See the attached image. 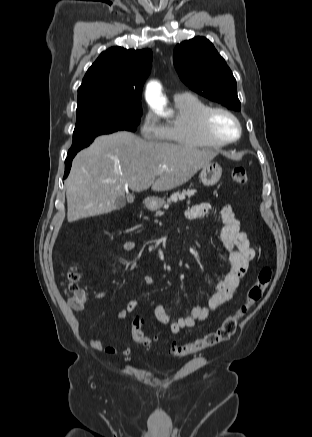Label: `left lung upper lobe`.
Masks as SVG:
<instances>
[{"label": "left lung upper lobe", "instance_id": "obj_1", "mask_svg": "<svg viewBox=\"0 0 312 437\" xmlns=\"http://www.w3.org/2000/svg\"><path fill=\"white\" fill-rule=\"evenodd\" d=\"M174 66L181 80L202 96L239 111L236 80L213 44L195 37L174 49Z\"/></svg>", "mask_w": 312, "mask_h": 437}]
</instances>
